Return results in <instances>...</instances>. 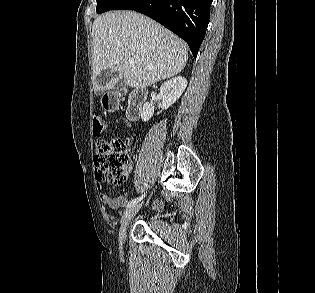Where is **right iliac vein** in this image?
Here are the masks:
<instances>
[{
	"mask_svg": "<svg viewBox=\"0 0 315 293\" xmlns=\"http://www.w3.org/2000/svg\"><path fill=\"white\" fill-rule=\"evenodd\" d=\"M140 208H141V204L135 205V206L129 207L123 213L122 218L120 220V230H119V238L121 241H125L126 236H127L126 235L127 227Z\"/></svg>",
	"mask_w": 315,
	"mask_h": 293,
	"instance_id": "1",
	"label": "right iliac vein"
}]
</instances>
